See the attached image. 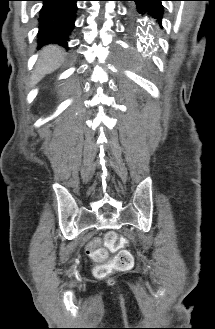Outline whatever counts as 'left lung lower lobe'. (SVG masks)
<instances>
[{
    "mask_svg": "<svg viewBox=\"0 0 215 329\" xmlns=\"http://www.w3.org/2000/svg\"><path fill=\"white\" fill-rule=\"evenodd\" d=\"M140 12H148L153 18L161 20L163 14L162 1L166 0H132Z\"/></svg>",
    "mask_w": 215,
    "mask_h": 329,
    "instance_id": "left-lung-lower-lobe-1",
    "label": "left lung lower lobe"
}]
</instances>
